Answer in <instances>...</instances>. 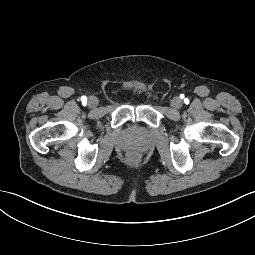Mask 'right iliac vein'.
<instances>
[{"label": "right iliac vein", "instance_id": "obj_1", "mask_svg": "<svg viewBox=\"0 0 255 255\" xmlns=\"http://www.w3.org/2000/svg\"><path fill=\"white\" fill-rule=\"evenodd\" d=\"M87 105L90 107V108H94L98 105V99L94 96H90L88 98V101H87Z\"/></svg>", "mask_w": 255, "mask_h": 255}]
</instances>
